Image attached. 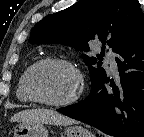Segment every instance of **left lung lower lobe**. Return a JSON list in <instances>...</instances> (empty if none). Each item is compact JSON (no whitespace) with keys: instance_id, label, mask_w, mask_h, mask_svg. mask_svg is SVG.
<instances>
[{"instance_id":"left-lung-lower-lobe-1","label":"left lung lower lobe","mask_w":144,"mask_h":137,"mask_svg":"<svg viewBox=\"0 0 144 137\" xmlns=\"http://www.w3.org/2000/svg\"><path fill=\"white\" fill-rule=\"evenodd\" d=\"M120 84L105 78L78 104L57 109L60 113L115 137H144V24L118 53Z\"/></svg>"}]
</instances>
